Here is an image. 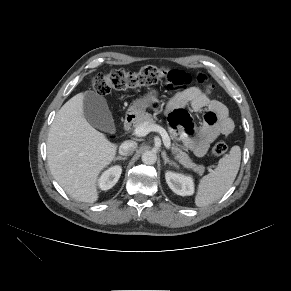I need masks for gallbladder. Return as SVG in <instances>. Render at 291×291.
<instances>
[{"label": "gallbladder", "instance_id": "1", "mask_svg": "<svg viewBox=\"0 0 291 291\" xmlns=\"http://www.w3.org/2000/svg\"><path fill=\"white\" fill-rule=\"evenodd\" d=\"M84 115L88 122L102 131L115 132V124L106 99L94 91H88L83 99Z\"/></svg>", "mask_w": 291, "mask_h": 291}]
</instances>
